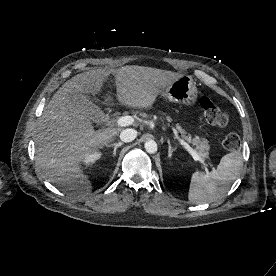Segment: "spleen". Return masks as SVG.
I'll list each match as a JSON object with an SVG mask.
<instances>
[{
	"instance_id": "spleen-1",
	"label": "spleen",
	"mask_w": 276,
	"mask_h": 276,
	"mask_svg": "<svg viewBox=\"0 0 276 276\" xmlns=\"http://www.w3.org/2000/svg\"><path fill=\"white\" fill-rule=\"evenodd\" d=\"M243 158L234 151L224 155L216 170L210 173L196 171L191 176L188 199L193 204L213 202L226 194L237 178Z\"/></svg>"
}]
</instances>
